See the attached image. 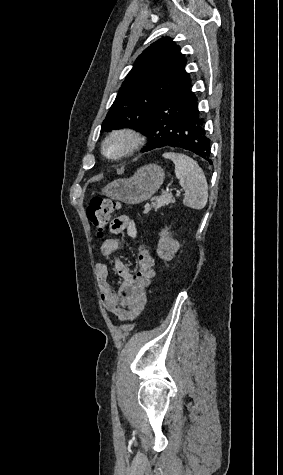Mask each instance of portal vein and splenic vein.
I'll list each match as a JSON object with an SVG mask.
<instances>
[{"label": "portal vein and splenic vein", "mask_w": 283, "mask_h": 475, "mask_svg": "<svg viewBox=\"0 0 283 475\" xmlns=\"http://www.w3.org/2000/svg\"><path fill=\"white\" fill-rule=\"evenodd\" d=\"M183 193H184L183 190L178 189V190H175V191H174V194H175L174 196H175V198H177V199H181V198L183 197Z\"/></svg>", "instance_id": "obj_1"}]
</instances>
